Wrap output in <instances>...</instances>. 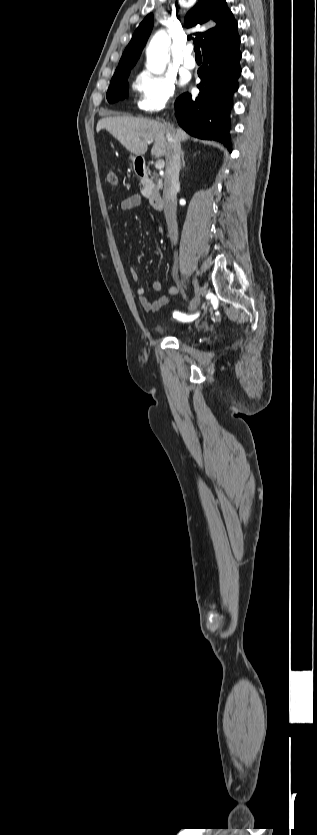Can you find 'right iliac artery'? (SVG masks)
<instances>
[{"instance_id":"obj_1","label":"right iliac artery","mask_w":317,"mask_h":835,"mask_svg":"<svg viewBox=\"0 0 317 835\" xmlns=\"http://www.w3.org/2000/svg\"><path fill=\"white\" fill-rule=\"evenodd\" d=\"M173 315H174V317L185 320V321H192L199 316V313L187 316L185 314H182V313L176 311V312L173 313Z\"/></svg>"}]
</instances>
